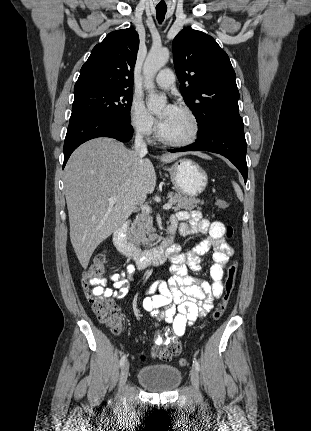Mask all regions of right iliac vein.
<instances>
[{"instance_id": "right-iliac-vein-1", "label": "right iliac vein", "mask_w": 311, "mask_h": 431, "mask_svg": "<svg viewBox=\"0 0 311 431\" xmlns=\"http://www.w3.org/2000/svg\"><path fill=\"white\" fill-rule=\"evenodd\" d=\"M129 374V363L125 362L121 368L120 378H119V386L123 387L126 383Z\"/></svg>"}]
</instances>
